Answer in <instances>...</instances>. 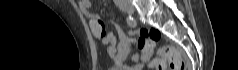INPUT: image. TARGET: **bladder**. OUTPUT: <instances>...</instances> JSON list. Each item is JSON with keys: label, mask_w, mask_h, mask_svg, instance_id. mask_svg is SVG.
I'll return each instance as SVG.
<instances>
[{"label": "bladder", "mask_w": 238, "mask_h": 70, "mask_svg": "<svg viewBox=\"0 0 238 70\" xmlns=\"http://www.w3.org/2000/svg\"><path fill=\"white\" fill-rule=\"evenodd\" d=\"M109 70H118V69H116L115 67H112V68H110Z\"/></svg>", "instance_id": "bladder-1"}]
</instances>
